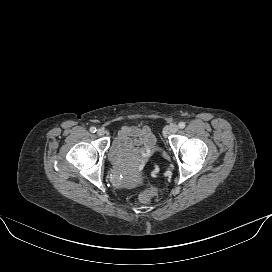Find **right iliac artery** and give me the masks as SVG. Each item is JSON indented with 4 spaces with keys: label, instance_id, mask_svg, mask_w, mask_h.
Instances as JSON below:
<instances>
[{
    "label": "right iliac artery",
    "instance_id": "obj_1",
    "mask_svg": "<svg viewBox=\"0 0 272 272\" xmlns=\"http://www.w3.org/2000/svg\"><path fill=\"white\" fill-rule=\"evenodd\" d=\"M90 132L95 133L96 132V128L95 127H91L90 128Z\"/></svg>",
    "mask_w": 272,
    "mask_h": 272
}]
</instances>
